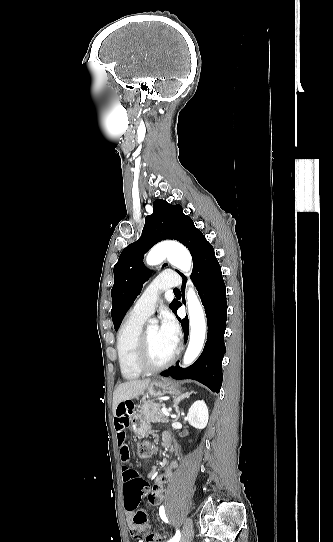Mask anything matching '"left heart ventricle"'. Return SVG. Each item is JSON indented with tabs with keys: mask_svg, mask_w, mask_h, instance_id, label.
Here are the masks:
<instances>
[{
	"mask_svg": "<svg viewBox=\"0 0 333 542\" xmlns=\"http://www.w3.org/2000/svg\"><path fill=\"white\" fill-rule=\"evenodd\" d=\"M149 359L159 364L171 357L176 347L162 334L158 326L147 329Z\"/></svg>",
	"mask_w": 333,
	"mask_h": 542,
	"instance_id": "b2bd125f",
	"label": "left heart ventricle"
}]
</instances>
